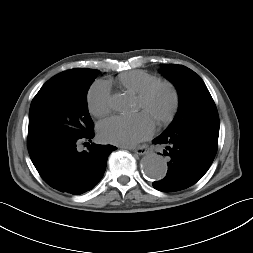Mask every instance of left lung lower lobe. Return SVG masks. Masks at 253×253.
Returning <instances> with one entry per match:
<instances>
[{
    "mask_svg": "<svg viewBox=\"0 0 253 253\" xmlns=\"http://www.w3.org/2000/svg\"><path fill=\"white\" fill-rule=\"evenodd\" d=\"M219 122L205 121L177 131L163 133L153 140L166 149L168 172L164 179L153 182L162 192L186 189L207 172L217 151Z\"/></svg>",
    "mask_w": 253,
    "mask_h": 253,
    "instance_id": "left-lung-lower-lobe-1",
    "label": "left lung lower lobe"
}]
</instances>
